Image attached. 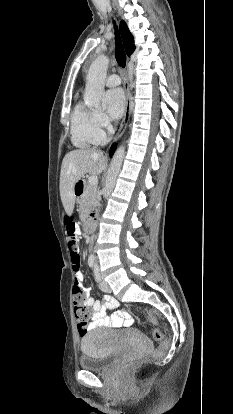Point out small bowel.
Returning a JSON list of instances; mask_svg holds the SVG:
<instances>
[{
    "label": "small bowel",
    "instance_id": "small-bowel-1",
    "mask_svg": "<svg viewBox=\"0 0 233 414\" xmlns=\"http://www.w3.org/2000/svg\"><path fill=\"white\" fill-rule=\"evenodd\" d=\"M76 236H80L81 232L76 231ZM70 261L75 274V281L72 284V291L76 295H80L85 292L86 303L92 311V324L91 327H106V328H121L129 327L133 324L132 315L125 311L118 309L119 302L111 295H105L103 301L95 300L90 295L91 285L82 283L83 273L80 266V253L77 250L71 252ZM108 310H115L111 315L107 314Z\"/></svg>",
    "mask_w": 233,
    "mask_h": 414
}]
</instances>
